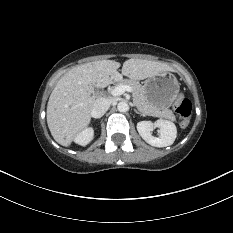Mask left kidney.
Returning <instances> with one entry per match:
<instances>
[{"label": "left kidney", "mask_w": 233, "mask_h": 233, "mask_svg": "<svg viewBox=\"0 0 233 233\" xmlns=\"http://www.w3.org/2000/svg\"><path fill=\"white\" fill-rule=\"evenodd\" d=\"M159 127V137H154L151 134L153 128ZM137 130L140 136L151 146L166 147L174 143L177 136V129L173 122L168 120L140 121L137 123Z\"/></svg>", "instance_id": "left-kidney-1"}]
</instances>
